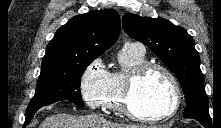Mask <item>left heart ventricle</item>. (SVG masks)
Returning <instances> with one entry per match:
<instances>
[{"mask_svg": "<svg viewBox=\"0 0 221 128\" xmlns=\"http://www.w3.org/2000/svg\"><path fill=\"white\" fill-rule=\"evenodd\" d=\"M172 100L171 86L164 73L158 70L148 73L137 85L132 104L143 114L164 112Z\"/></svg>", "mask_w": 221, "mask_h": 128, "instance_id": "obj_1", "label": "left heart ventricle"}]
</instances>
